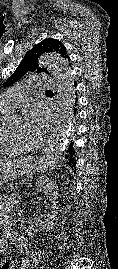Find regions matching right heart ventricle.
Listing matches in <instances>:
<instances>
[{
    "label": "right heart ventricle",
    "instance_id": "obj_1",
    "mask_svg": "<svg viewBox=\"0 0 118 269\" xmlns=\"http://www.w3.org/2000/svg\"><path fill=\"white\" fill-rule=\"evenodd\" d=\"M11 113L12 111L0 107V156L17 154L22 150L19 141L5 129V122Z\"/></svg>",
    "mask_w": 118,
    "mask_h": 269
}]
</instances>
